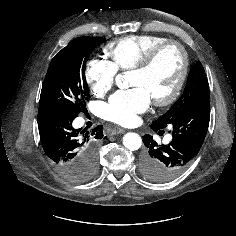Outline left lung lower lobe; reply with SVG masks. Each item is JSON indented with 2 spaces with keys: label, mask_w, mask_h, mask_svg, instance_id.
Instances as JSON below:
<instances>
[{
  "label": "left lung lower lobe",
  "mask_w": 236,
  "mask_h": 236,
  "mask_svg": "<svg viewBox=\"0 0 236 236\" xmlns=\"http://www.w3.org/2000/svg\"><path fill=\"white\" fill-rule=\"evenodd\" d=\"M210 120L209 100L191 105L174 118L172 141L168 145H158L150 135L143 136L147 147L141 157L143 175L155 182H167L181 174L197 156L205 139ZM154 131H163L152 127Z\"/></svg>",
  "instance_id": "1"
}]
</instances>
